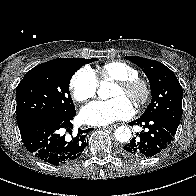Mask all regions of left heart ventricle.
Segmentation results:
<instances>
[{
	"label": "left heart ventricle",
	"instance_id": "1",
	"mask_svg": "<svg viewBox=\"0 0 196 196\" xmlns=\"http://www.w3.org/2000/svg\"><path fill=\"white\" fill-rule=\"evenodd\" d=\"M138 95L137 91H127L122 89L120 86L115 85L111 97L116 98V97H124L127 100L133 102L134 98Z\"/></svg>",
	"mask_w": 196,
	"mask_h": 196
}]
</instances>
